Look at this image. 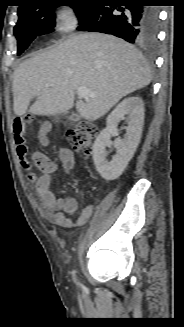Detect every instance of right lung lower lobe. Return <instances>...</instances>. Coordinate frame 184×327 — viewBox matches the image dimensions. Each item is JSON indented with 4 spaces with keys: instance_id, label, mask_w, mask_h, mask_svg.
<instances>
[{
    "instance_id": "98d812e1",
    "label": "right lung lower lobe",
    "mask_w": 184,
    "mask_h": 327,
    "mask_svg": "<svg viewBox=\"0 0 184 327\" xmlns=\"http://www.w3.org/2000/svg\"><path fill=\"white\" fill-rule=\"evenodd\" d=\"M126 3V6L94 5L77 29L113 34L130 43L152 45L158 33V10L143 6L144 0H127Z\"/></svg>"
}]
</instances>
